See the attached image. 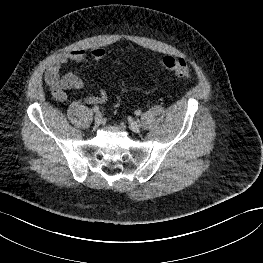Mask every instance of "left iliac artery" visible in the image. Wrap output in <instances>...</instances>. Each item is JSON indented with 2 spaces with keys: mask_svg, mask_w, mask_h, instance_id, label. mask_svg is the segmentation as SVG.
I'll list each match as a JSON object with an SVG mask.
<instances>
[{
  "mask_svg": "<svg viewBox=\"0 0 263 263\" xmlns=\"http://www.w3.org/2000/svg\"><path fill=\"white\" fill-rule=\"evenodd\" d=\"M135 114H136L137 116H139V115H141V111H140V110H136V111H135Z\"/></svg>",
  "mask_w": 263,
  "mask_h": 263,
  "instance_id": "1",
  "label": "left iliac artery"
}]
</instances>
